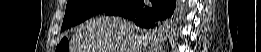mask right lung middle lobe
Returning <instances> with one entry per match:
<instances>
[{"label":"right lung middle lobe","mask_w":261,"mask_h":52,"mask_svg":"<svg viewBox=\"0 0 261 52\" xmlns=\"http://www.w3.org/2000/svg\"><path fill=\"white\" fill-rule=\"evenodd\" d=\"M124 0H68L61 30L77 25L95 14L103 13ZM167 22L156 27L163 28Z\"/></svg>","instance_id":"obj_1"}]
</instances>
